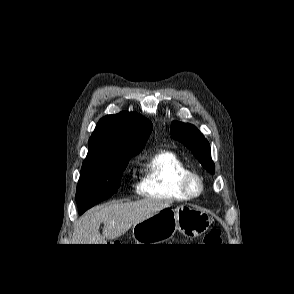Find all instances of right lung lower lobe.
<instances>
[{
	"label": "right lung lower lobe",
	"instance_id": "right-lung-lower-lobe-1",
	"mask_svg": "<svg viewBox=\"0 0 294 294\" xmlns=\"http://www.w3.org/2000/svg\"><path fill=\"white\" fill-rule=\"evenodd\" d=\"M84 211H79V214H82Z\"/></svg>",
	"mask_w": 294,
	"mask_h": 294
}]
</instances>
